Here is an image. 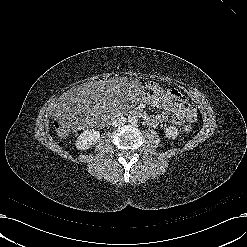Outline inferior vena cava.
<instances>
[{"mask_svg": "<svg viewBox=\"0 0 247 247\" xmlns=\"http://www.w3.org/2000/svg\"><path fill=\"white\" fill-rule=\"evenodd\" d=\"M125 123H126V118L121 116V117H117L116 119H114L112 121V126L118 127V126L123 125Z\"/></svg>", "mask_w": 247, "mask_h": 247, "instance_id": "602c4592", "label": "inferior vena cava"}]
</instances>
